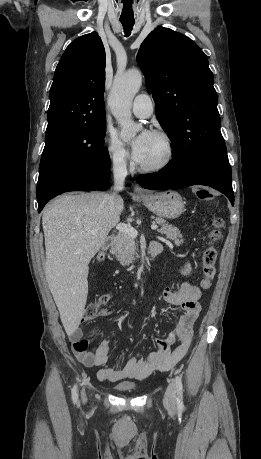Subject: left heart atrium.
Here are the masks:
<instances>
[{
    "instance_id": "obj_1",
    "label": "left heart atrium",
    "mask_w": 261,
    "mask_h": 459,
    "mask_svg": "<svg viewBox=\"0 0 261 459\" xmlns=\"http://www.w3.org/2000/svg\"><path fill=\"white\" fill-rule=\"evenodd\" d=\"M152 136V133L145 130L142 131L132 143V156L137 163H141L144 159L146 146Z\"/></svg>"
}]
</instances>
